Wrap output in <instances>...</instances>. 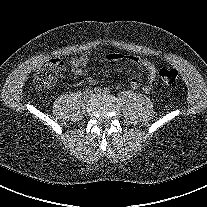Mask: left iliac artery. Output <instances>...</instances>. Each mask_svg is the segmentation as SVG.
Returning a JSON list of instances; mask_svg holds the SVG:
<instances>
[{
    "label": "left iliac artery",
    "mask_w": 207,
    "mask_h": 207,
    "mask_svg": "<svg viewBox=\"0 0 207 207\" xmlns=\"http://www.w3.org/2000/svg\"><path fill=\"white\" fill-rule=\"evenodd\" d=\"M103 91H104V93H105V94H109V93L111 92V90H110L109 88H107V87H106V88H104V90H103Z\"/></svg>",
    "instance_id": "left-iliac-artery-1"
}]
</instances>
